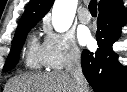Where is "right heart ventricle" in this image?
<instances>
[{"instance_id": "1", "label": "right heart ventricle", "mask_w": 127, "mask_h": 92, "mask_svg": "<svg viewBox=\"0 0 127 92\" xmlns=\"http://www.w3.org/2000/svg\"><path fill=\"white\" fill-rule=\"evenodd\" d=\"M25 65L31 70H40L42 68L43 61L41 46L39 45L35 36H32L27 44V50L25 53Z\"/></svg>"}]
</instances>
